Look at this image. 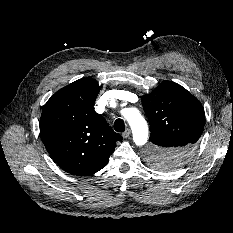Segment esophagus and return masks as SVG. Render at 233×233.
<instances>
[{
  "label": "esophagus",
  "mask_w": 233,
  "mask_h": 233,
  "mask_svg": "<svg viewBox=\"0 0 233 233\" xmlns=\"http://www.w3.org/2000/svg\"><path fill=\"white\" fill-rule=\"evenodd\" d=\"M130 133H131V130H130L129 128H127V129L125 130V132H123L122 136H123L124 138H128L129 135H130Z\"/></svg>",
  "instance_id": "esophagus-1"
}]
</instances>
